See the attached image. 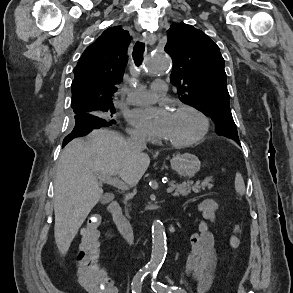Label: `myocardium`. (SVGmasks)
Returning a JSON list of instances; mask_svg holds the SVG:
<instances>
[{"label":"myocardium","mask_w":293,"mask_h":293,"mask_svg":"<svg viewBox=\"0 0 293 293\" xmlns=\"http://www.w3.org/2000/svg\"><path fill=\"white\" fill-rule=\"evenodd\" d=\"M175 111L176 112L185 111V112H190V113L194 114L199 119V121L201 123V128H200L199 133L195 137H193L189 140H185V141L166 140L165 143L171 147L184 148V147H190V146L196 145L199 142H201L208 134L209 128H210V123H209V119L207 118V116L203 112H201L199 109H197L191 105H187V104L179 105L175 109Z\"/></svg>","instance_id":"1"}]
</instances>
